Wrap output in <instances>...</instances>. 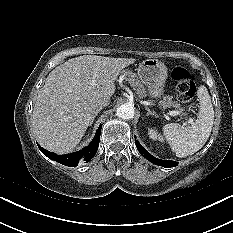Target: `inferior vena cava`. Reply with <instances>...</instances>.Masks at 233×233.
I'll list each match as a JSON object with an SVG mask.
<instances>
[{
    "label": "inferior vena cava",
    "mask_w": 233,
    "mask_h": 233,
    "mask_svg": "<svg viewBox=\"0 0 233 233\" xmlns=\"http://www.w3.org/2000/svg\"><path fill=\"white\" fill-rule=\"evenodd\" d=\"M109 103H110V97L106 96V97H103L100 100H98L97 107L102 108L103 106L109 105Z\"/></svg>",
    "instance_id": "obj_1"
}]
</instances>
